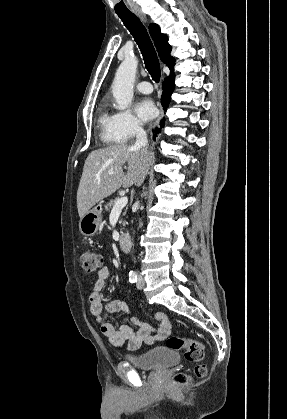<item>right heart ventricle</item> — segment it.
<instances>
[{
  "instance_id": "right-heart-ventricle-1",
  "label": "right heart ventricle",
  "mask_w": 287,
  "mask_h": 419,
  "mask_svg": "<svg viewBox=\"0 0 287 419\" xmlns=\"http://www.w3.org/2000/svg\"><path fill=\"white\" fill-rule=\"evenodd\" d=\"M98 127L100 139L104 144L111 146L124 142L116 131L114 115L108 111L105 105L99 113Z\"/></svg>"
}]
</instances>
